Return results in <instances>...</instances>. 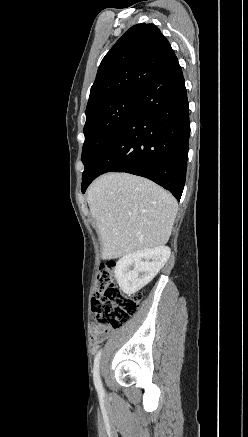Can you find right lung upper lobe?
Returning <instances> with one entry per match:
<instances>
[{"instance_id":"1","label":"right lung upper lobe","mask_w":248,"mask_h":437,"mask_svg":"<svg viewBox=\"0 0 248 437\" xmlns=\"http://www.w3.org/2000/svg\"><path fill=\"white\" fill-rule=\"evenodd\" d=\"M176 58L166 37L153 24L128 29L103 58L86 107V115L127 93H139Z\"/></svg>"}]
</instances>
